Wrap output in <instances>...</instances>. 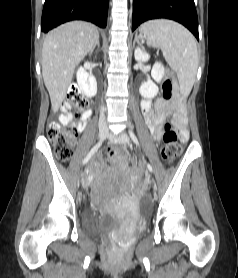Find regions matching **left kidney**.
I'll list each match as a JSON object with an SVG mask.
<instances>
[{
  "label": "left kidney",
  "instance_id": "obj_1",
  "mask_svg": "<svg viewBox=\"0 0 238 278\" xmlns=\"http://www.w3.org/2000/svg\"><path fill=\"white\" fill-rule=\"evenodd\" d=\"M135 60L138 62H146L149 60L150 55L140 48H137L134 52ZM165 74V68L160 62H156L151 71L152 79L159 83ZM159 88L158 86L152 81L147 80L146 82L142 83L139 89V92L142 97L144 98H154L158 94Z\"/></svg>",
  "mask_w": 238,
  "mask_h": 278
}]
</instances>
